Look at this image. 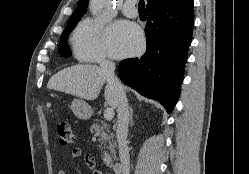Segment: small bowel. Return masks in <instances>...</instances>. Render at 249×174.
I'll list each match as a JSON object with an SVG mask.
<instances>
[{
  "instance_id": "c3829d8e",
  "label": "small bowel",
  "mask_w": 249,
  "mask_h": 174,
  "mask_svg": "<svg viewBox=\"0 0 249 174\" xmlns=\"http://www.w3.org/2000/svg\"><path fill=\"white\" fill-rule=\"evenodd\" d=\"M82 155V150L79 147L73 148L70 153L66 156L67 160H72L78 158ZM84 162L90 168L92 174H103L100 170L96 168V160L90 154L84 155ZM58 174H66L64 170H59Z\"/></svg>"
}]
</instances>
